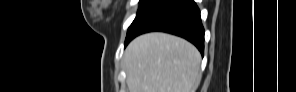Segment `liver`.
I'll return each mask as SVG.
<instances>
[{
    "instance_id": "obj_1",
    "label": "liver",
    "mask_w": 296,
    "mask_h": 92,
    "mask_svg": "<svg viewBox=\"0 0 296 92\" xmlns=\"http://www.w3.org/2000/svg\"><path fill=\"white\" fill-rule=\"evenodd\" d=\"M201 55L188 41L166 33H147L124 53L129 92H191L200 81Z\"/></svg>"
}]
</instances>
